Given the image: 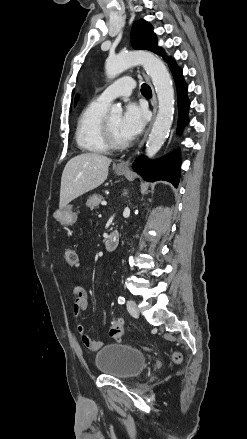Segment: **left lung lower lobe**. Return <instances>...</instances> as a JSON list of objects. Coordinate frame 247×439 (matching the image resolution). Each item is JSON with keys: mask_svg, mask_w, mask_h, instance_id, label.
<instances>
[{"mask_svg": "<svg viewBox=\"0 0 247 439\" xmlns=\"http://www.w3.org/2000/svg\"><path fill=\"white\" fill-rule=\"evenodd\" d=\"M173 77L175 79L178 92V106L180 112V121L187 122V112L190 102L187 98L188 87L183 80L182 70L173 62L170 65ZM133 169L147 181L166 180L171 182L175 187L178 186L180 176V162L178 153L167 155L159 161H150L144 156H140L133 163Z\"/></svg>", "mask_w": 247, "mask_h": 439, "instance_id": "left-lung-lower-lobe-1", "label": "left lung lower lobe"}]
</instances>
